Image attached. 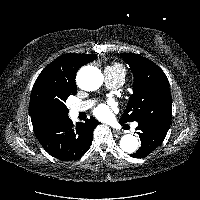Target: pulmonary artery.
I'll return each instance as SVG.
<instances>
[{
  "mask_svg": "<svg viewBox=\"0 0 200 200\" xmlns=\"http://www.w3.org/2000/svg\"><path fill=\"white\" fill-rule=\"evenodd\" d=\"M105 82L109 88H119L123 85L124 79L121 76L105 70ZM90 105L91 101L77 103L72 105L71 111L74 114H78L79 112L86 111L90 107Z\"/></svg>",
  "mask_w": 200,
  "mask_h": 200,
  "instance_id": "obj_1",
  "label": "pulmonary artery"
}]
</instances>
